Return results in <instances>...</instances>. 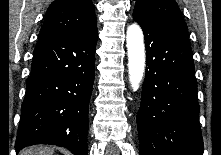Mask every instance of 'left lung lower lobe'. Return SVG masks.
I'll return each instance as SVG.
<instances>
[{"label": "left lung lower lobe", "instance_id": "obj_1", "mask_svg": "<svg viewBox=\"0 0 221 155\" xmlns=\"http://www.w3.org/2000/svg\"><path fill=\"white\" fill-rule=\"evenodd\" d=\"M146 47L137 114L140 155H203L197 81L188 34L134 10Z\"/></svg>", "mask_w": 221, "mask_h": 155}]
</instances>
